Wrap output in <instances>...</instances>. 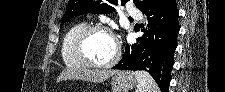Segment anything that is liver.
<instances>
[{"instance_id":"6515ba94","label":"liver","mask_w":225,"mask_h":92,"mask_svg":"<svg viewBox=\"0 0 225 92\" xmlns=\"http://www.w3.org/2000/svg\"><path fill=\"white\" fill-rule=\"evenodd\" d=\"M116 71L114 70H99V69H79L74 70L71 68L64 69L59 76L57 77V83L60 81L66 80H82L93 83H101L112 75H114Z\"/></svg>"}]
</instances>
